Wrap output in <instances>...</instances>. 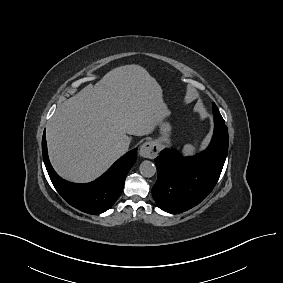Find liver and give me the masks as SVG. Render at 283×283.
<instances>
[{"instance_id":"1","label":"liver","mask_w":283,"mask_h":283,"mask_svg":"<svg viewBox=\"0 0 283 283\" xmlns=\"http://www.w3.org/2000/svg\"><path fill=\"white\" fill-rule=\"evenodd\" d=\"M166 115L161 87L144 68L117 67L57 107L46 132L50 161L67 180L92 181L126 152L125 136L153 133Z\"/></svg>"}]
</instances>
